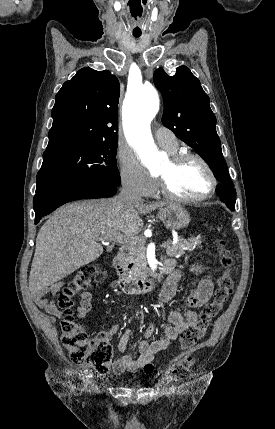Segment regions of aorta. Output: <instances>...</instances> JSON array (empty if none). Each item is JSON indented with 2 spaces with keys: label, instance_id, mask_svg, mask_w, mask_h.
Listing matches in <instances>:
<instances>
[{
  "label": "aorta",
  "instance_id": "1",
  "mask_svg": "<svg viewBox=\"0 0 275 429\" xmlns=\"http://www.w3.org/2000/svg\"><path fill=\"white\" fill-rule=\"evenodd\" d=\"M159 107L160 99L152 85H140L130 90L123 105L125 136L151 172L160 167V156L150 131V123Z\"/></svg>",
  "mask_w": 275,
  "mask_h": 429
}]
</instances>
